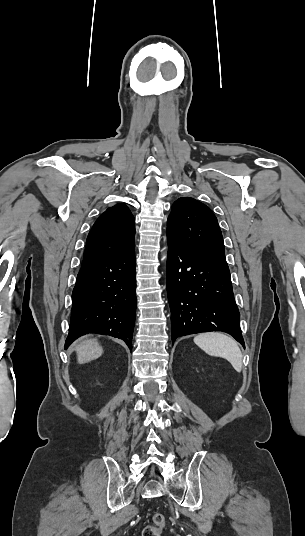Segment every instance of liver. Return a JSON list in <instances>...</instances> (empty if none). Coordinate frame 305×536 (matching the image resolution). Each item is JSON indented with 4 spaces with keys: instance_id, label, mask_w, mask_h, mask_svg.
Masks as SVG:
<instances>
[{
    "instance_id": "6515ba94",
    "label": "liver",
    "mask_w": 305,
    "mask_h": 536,
    "mask_svg": "<svg viewBox=\"0 0 305 536\" xmlns=\"http://www.w3.org/2000/svg\"><path fill=\"white\" fill-rule=\"evenodd\" d=\"M78 364H87L91 360H97L103 354V348L97 340H85L76 348Z\"/></svg>"
}]
</instances>
